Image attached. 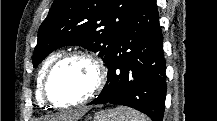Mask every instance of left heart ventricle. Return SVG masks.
<instances>
[{
	"label": "left heart ventricle",
	"mask_w": 217,
	"mask_h": 121,
	"mask_svg": "<svg viewBox=\"0 0 217 121\" xmlns=\"http://www.w3.org/2000/svg\"><path fill=\"white\" fill-rule=\"evenodd\" d=\"M96 81V70L84 58L63 63L54 73L50 83L52 98L61 105L75 103L89 94Z\"/></svg>",
	"instance_id": "left-heart-ventricle-1"
}]
</instances>
